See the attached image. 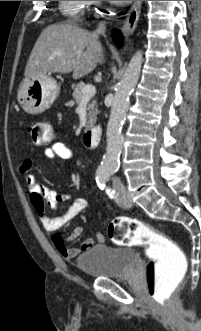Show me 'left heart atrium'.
<instances>
[{
	"instance_id": "left-heart-atrium-1",
	"label": "left heart atrium",
	"mask_w": 201,
	"mask_h": 331,
	"mask_svg": "<svg viewBox=\"0 0 201 331\" xmlns=\"http://www.w3.org/2000/svg\"><path fill=\"white\" fill-rule=\"evenodd\" d=\"M111 2L114 4H117V5H124V4L129 3L130 1H111Z\"/></svg>"
}]
</instances>
